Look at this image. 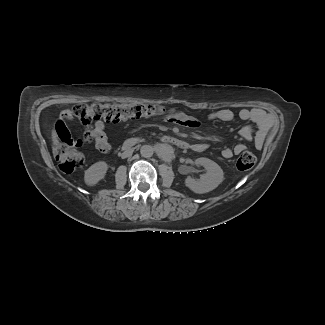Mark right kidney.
Wrapping results in <instances>:
<instances>
[{
  "instance_id": "obj_1",
  "label": "right kidney",
  "mask_w": 325,
  "mask_h": 325,
  "mask_svg": "<svg viewBox=\"0 0 325 325\" xmlns=\"http://www.w3.org/2000/svg\"><path fill=\"white\" fill-rule=\"evenodd\" d=\"M108 165L104 161L97 162L85 171L84 181L87 185L93 186L104 178Z\"/></svg>"
}]
</instances>
